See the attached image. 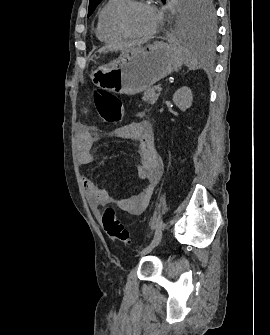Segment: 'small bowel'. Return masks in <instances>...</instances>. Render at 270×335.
<instances>
[{
	"label": "small bowel",
	"mask_w": 270,
	"mask_h": 335,
	"mask_svg": "<svg viewBox=\"0 0 270 335\" xmlns=\"http://www.w3.org/2000/svg\"><path fill=\"white\" fill-rule=\"evenodd\" d=\"M96 132L97 128L93 125L81 123L77 127L80 148L78 156L83 165L93 162L91 150L96 142ZM118 135L122 139L137 143L140 161L136 165V171L139 178L147 182V186L141 193L117 200L115 204L125 213L140 215L147 209L154 187L162 174V166L154 148L153 129L148 121L140 119L121 126ZM82 184L87 193L89 205L96 214H99L100 207L114 202L109 193L92 179L82 176Z\"/></svg>",
	"instance_id": "1"
}]
</instances>
